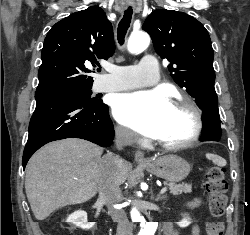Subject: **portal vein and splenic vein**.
I'll list each match as a JSON object with an SVG mask.
<instances>
[{
  "label": "portal vein and splenic vein",
  "instance_id": "obj_1",
  "mask_svg": "<svg viewBox=\"0 0 250 235\" xmlns=\"http://www.w3.org/2000/svg\"><path fill=\"white\" fill-rule=\"evenodd\" d=\"M167 191V188H163L161 191H160V194H164L165 192Z\"/></svg>",
  "mask_w": 250,
  "mask_h": 235
}]
</instances>
